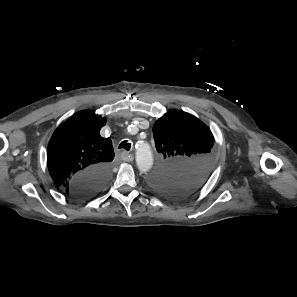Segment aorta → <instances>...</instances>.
<instances>
[{"label": "aorta", "mask_w": 297, "mask_h": 297, "mask_svg": "<svg viewBox=\"0 0 297 297\" xmlns=\"http://www.w3.org/2000/svg\"><path fill=\"white\" fill-rule=\"evenodd\" d=\"M136 163L139 171L147 174L153 166V156L148 146L139 145L136 150Z\"/></svg>", "instance_id": "obj_1"}]
</instances>
